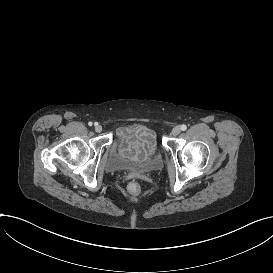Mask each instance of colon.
Masks as SVG:
<instances>
[{"mask_svg": "<svg viewBox=\"0 0 273 273\" xmlns=\"http://www.w3.org/2000/svg\"><path fill=\"white\" fill-rule=\"evenodd\" d=\"M123 192L126 197L130 199H135L140 196L142 192V187L139 182L135 180H130L125 183L123 187Z\"/></svg>", "mask_w": 273, "mask_h": 273, "instance_id": "1", "label": "colon"}]
</instances>
